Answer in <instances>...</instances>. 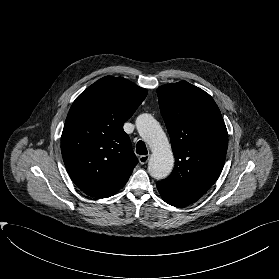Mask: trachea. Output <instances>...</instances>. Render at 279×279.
<instances>
[{"mask_svg":"<svg viewBox=\"0 0 279 279\" xmlns=\"http://www.w3.org/2000/svg\"><path fill=\"white\" fill-rule=\"evenodd\" d=\"M136 153L139 155H146L148 153L145 143L141 140L137 143Z\"/></svg>","mask_w":279,"mask_h":279,"instance_id":"trachea-1","label":"trachea"}]
</instances>
